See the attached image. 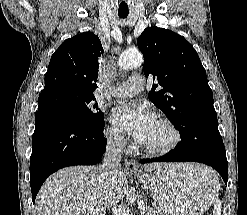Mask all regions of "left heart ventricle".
<instances>
[{"instance_id": "b2bd125f", "label": "left heart ventricle", "mask_w": 247, "mask_h": 215, "mask_svg": "<svg viewBox=\"0 0 247 215\" xmlns=\"http://www.w3.org/2000/svg\"><path fill=\"white\" fill-rule=\"evenodd\" d=\"M169 139V131L157 121L141 144L151 148H158L165 145Z\"/></svg>"}]
</instances>
